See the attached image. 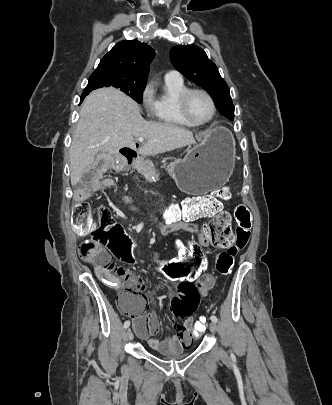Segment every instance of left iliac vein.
Returning a JSON list of instances; mask_svg holds the SVG:
<instances>
[{"label":"left iliac vein","instance_id":"4c4485c4","mask_svg":"<svg viewBox=\"0 0 332 405\" xmlns=\"http://www.w3.org/2000/svg\"><path fill=\"white\" fill-rule=\"evenodd\" d=\"M209 328H210L211 332L216 333V331H217V325H216L215 322H210ZM220 354H221V355L224 354V351H223L222 349H220Z\"/></svg>","mask_w":332,"mask_h":405}]
</instances>
